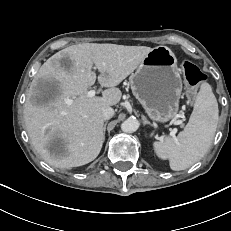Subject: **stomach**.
I'll return each mask as SVG.
<instances>
[{
	"mask_svg": "<svg viewBox=\"0 0 231 231\" xmlns=\"http://www.w3.org/2000/svg\"><path fill=\"white\" fill-rule=\"evenodd\" d=\"M130 85L152 121L164 123L177 118L182 79L170 48H153L130 76Z\"/></svg>",
	"mask_w": 231,
	"mask_h": 231,
	"instance_id": "obj_1",
	"label": "stomach"
}]
</instances>
